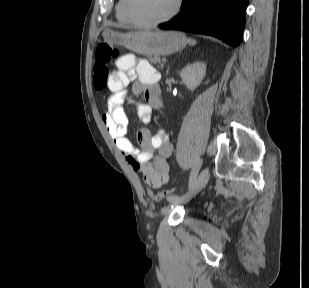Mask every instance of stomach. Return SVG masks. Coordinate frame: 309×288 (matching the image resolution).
I'll return each instance as SVG.
<instances>
[{
  "mask_svg": "<svg viewBox=\"0 0 309 288\" xmlns=\"http://www.w3.org/2000/svg\"><path fill=\"white\" fill-rule=\"evenodd\" d=\"M104 41L121 45L134 53L148 57L168 55L185 47L187 38L178 31H130L119 32L105 28Z\"/></svg>",
  "mask_w": 309,
  "mask_h": 288,
  "instance_id": "stomach-1",
  "label": "stomach"
}]
</instances>
